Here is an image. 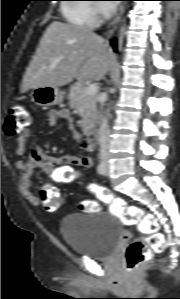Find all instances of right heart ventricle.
Returning <instances> with one entry per match:
<instances>
[{
	"label": "right heart ventricle",
	"mask_w": 180,
	"mask_h": 299,
	"mask_svg": "<svg viewBox=\"0 0 180 299\" xmlns=\"http://www.w3.org/2000/svg\"><path fill=\"white\" fill-rule=\"evenodd\" d=\"M63 14L67 22L76 27H91L95 23L93 8L90 4H65L63 6Z\"/></svg>",
	"instance_id": "1"
}]
</instances>
